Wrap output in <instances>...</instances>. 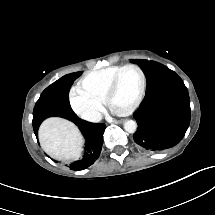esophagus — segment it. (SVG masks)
<instances>
[{"label": "esophagus", "mask_w": 215, "mask_h": 215, "mask_svg": "<svg viewBox=\"0 0 215 215\" xmlns=\"http://www.w3.org/2000/svg\"><path fill=\"white\" fill-rule=\"evenodd\" d=\"M108 122L120 123V121H114V120H111V121H108Z\"/></svg>", "instance_id": "34e87169"}]
</instances>
